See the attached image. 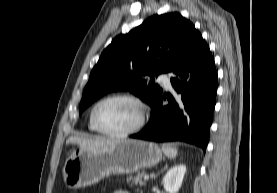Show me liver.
<instances>
[{
	"label": "liver",
	"instance_id": "liver-1",
	"mask_svg": "<svg viewBox=\"0 0 277 193\" xmlns=\"http://www.w3.org/2000/svg\"><path fill=\"white\" fill-rule=\"evenodd\" d=\"M116 140L103 137L83 138V137H70L67 139L66 144H78L83 148H104L113 144Z\"/></svg>",
	"mask_w": 277,
	"mask_h": 193
}]
</instances>
